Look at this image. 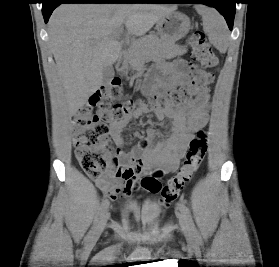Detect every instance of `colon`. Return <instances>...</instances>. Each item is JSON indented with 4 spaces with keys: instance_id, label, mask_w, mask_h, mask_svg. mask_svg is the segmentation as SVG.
<instances>
[{
    "instance_id": "5ec220e1",
    "label": "colon",
    "mask_w": 279,
    "mask_h": 267,
    "mask_svg": "<svg viewBox=\"0 0 279 267\" xmlns=\"http://www.w3.org/2000/svg\"><path fill=\"white\" fill-rule=\"evenodd\" d=\"M189 42L192 46V61L202 68L217 67V56L201 30H193ZM212 79V74L197 69L193 73L190 87L175 89L167 94L153 93L152 101L160 106L184 104L205 90ZM122 97V84L119 79H113L94 93L89 103L81 107L74 116L76 158L86 174L95 181L107 174L120 179H129L141 171L138 164L127 165L115 161L123 152L118 150L114 153L108 144L110 126L122 121L141 104L132 98L121 101ZM207 148L208 134L200 129L190 141L185 160L175 176L162 186L155 176L148 174L141 179V186L148 192L160 193L162 202L166 205L171 204L201 165ZM159 173L157 171V174Z\"/></svg>"
}]
</instances>
